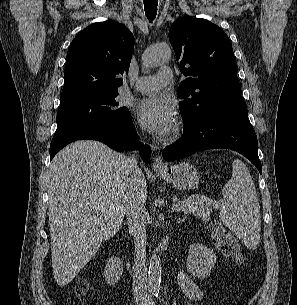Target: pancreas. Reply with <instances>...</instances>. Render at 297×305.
<instances>
[{"label": "pancreas", "instance_id": "1", "mask_svg": "<svg viewBox=\"0 0 297 305\" xmlns=\"http://www.w3.org/2000/svg\"><path fill=\"white\" fill-rule=\"evenodd\" d=\"M179 202H185V204H183L177 211H183L185 214L192 213L202 221H206L210 218L212 201L208 198L201 195H193L188 199Z\"/></svg>", "mask_w": 297, "mask_h": 305}]
</instances>
